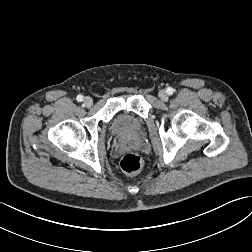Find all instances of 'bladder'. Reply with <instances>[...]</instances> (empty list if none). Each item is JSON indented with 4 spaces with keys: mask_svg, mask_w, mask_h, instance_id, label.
<instances>
[{
    "mask_svg": "<svg viewBox=\"0 0 252 252\" xmlns=\"http://www.w3.org/2000/svg\"><path fill=\"white\" fill-rule=\"evenodd\" d=\"M142 131V124L128 114L118 115L112 123V132L121 138L138 136Z\"/></svg>",
    "mask_w": 252,
    "mask_h": 252,
    "instance_id": "1",
    "label": "bladder"
}]
</instances>
